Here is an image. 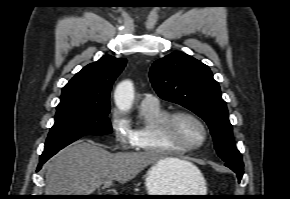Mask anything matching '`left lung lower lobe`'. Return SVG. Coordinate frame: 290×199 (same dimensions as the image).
<instances>
[{"label": "left lung lower lobe", "instance_id": "obj_1", "mask_svg": "<svg viewBox=\"0 0 290 199\" xmlns=\"http://www.w3.org/2000/svg\"><path fill=\"white\" fill-rule=\"evenodd\" d=\"M227 167H229L231 170H233L237 176H238V181L240 182L242 175H243V163H238V162H226L225 164Z\"/></svg>", "mask_w": 290, "mask_h": 199}]
</instances>
